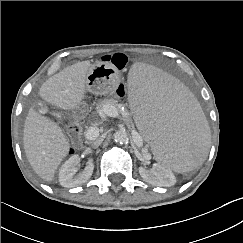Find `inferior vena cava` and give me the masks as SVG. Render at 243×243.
Here are the masks:
<instances>
[{
  "label": "inferior vena cava",
  "mask_w": 243,
  "mask_h": 243,
  "mask_svg": "<svg viewBox=\"0 0 243 243\" xmlns=\"http://www.w3.org/2000/svg\"><path fill=\"white\" fill-rule=\"evenodd\" d=\"M97 135L90 139V140H94L92 142V147H94V148H97L102 143V141H103L102 138H97Z\"/></svg>",
  "instance_id": "602c4592"
}]
</instances>
